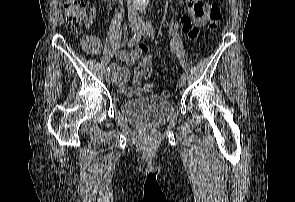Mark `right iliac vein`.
Wrapping results in <instances>:
<instances>
[{"mask_svg": "<svg viewBox=\"0 0 295 202\" xmlns=\"http://www.w3.org/2000/svg\"><path fill=\"white\" fill-rule=\"evenodd\" d=\"M130 28H131V30L135 31L136 29H138V25L136 23H131ZM106 81L109 85H113L116 80H115V77H113L112 75L109 74L106 77Z\"/></svg>", "mask_w": 295, "mask_h": 202, "instance_id": "1", "label": "right iliac vein"}]
</instances>
